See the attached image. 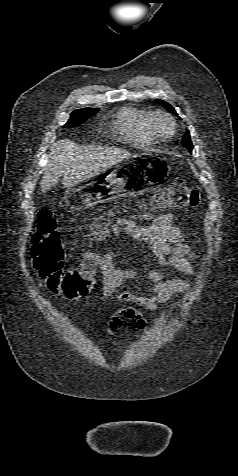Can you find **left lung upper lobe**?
<instances>
[{"label":"left lung upper lobe","mask_w":238,"mask_h":476,"mask_svg":"<svg viewBox=\"0 0 238 476\" xmlns=\"http://www.w3.org/2000/svg\"><path fill=\"white\" fill-rule=\"evenodd\" d=\"M157 101L159 103H161L169 112H172L174 113L175 115H177L176 111L174 110V108L167 102L163 101V100H159L157 99ZM182 145L184 147H186L190 152L192 151L193 149V145H192V142H191V138H190V134L189 132L187 131L186 134L183 136V140H182Z\"/></svg>","instance_id":"5c2ea615"}]
</instances>
